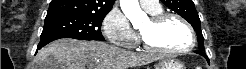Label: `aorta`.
Instances as JSON below:
<instances>
[{
	"label": "aorta",
	"instance_id": "1",
	"mask_svg": "<svg viewBox=\"0 0 246 69\" xmlns=\"http://www.w3.org/2000/svg\"><path fill=\"white\" fill-rule=\"evenodd\" d=\"M120 6L125 16L133 25L147 18V15L139 6L138 0H120Z\"/></svg>",
	"mask_w": 246,
	"mask_h": 69
}]
</instances>
